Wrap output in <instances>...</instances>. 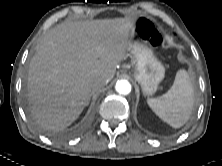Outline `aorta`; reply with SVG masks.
I'll return each mask as SVG.
<instances>
[{
  "instance_id": "1",
  "label": "aorta",
  "mask_w": 222,
  "mask_h": 166,
  "mask_svg": "<svg viewBox=\"0 0 222 166\" xmlns=\"http://www.w3.org/2000/svg\"><path fill=\"white\" fill-rule=\"evenodd\" d=\"M115 88L116 91L122 95H127L131 92V84L126 80L117 81Z\"/></svg>"
}]
</instances>
